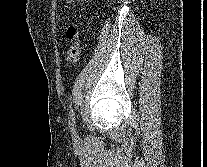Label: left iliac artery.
Instances as JSON below:
<instances>
[{
	"mask_svg": "<svg viewBox=\"0 0 207 167\" xmlns=\"http://www.w3.org/2000/svg\"><path fill=\"white\" fill-rule=\"evenodd\" d=\"M69 125L71 127L72 132L75 133V112L73 108H71L69 112Z\"/></svg>",
	"mask_w": 207,
	"mask_h": 167,
	"instance_id": "obj_1",
	"label": "left iliac artery"
}]
</instances>
